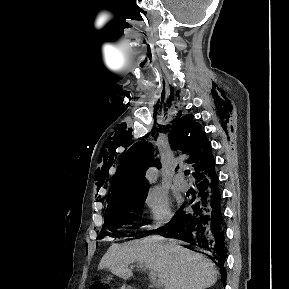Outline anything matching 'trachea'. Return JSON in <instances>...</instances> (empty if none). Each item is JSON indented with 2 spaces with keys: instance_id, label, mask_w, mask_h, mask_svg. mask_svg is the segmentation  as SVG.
<instances>
[{
  "instance_id": "3493384b",
  "label": "trachea",
  "mask_w": 289,
  "mask_h": 289,
  "mask_svg": "<svg viewBox=\"0 0 289 289\" xmlns=\"http://www.w3.org/2000/svg\"><path fill=\"white\" fill-rule=\"evenodd\" d=\"M188 174H189V171H188V170H186V171H185V175H188Z\"/></svg>"
}]
</instances>
